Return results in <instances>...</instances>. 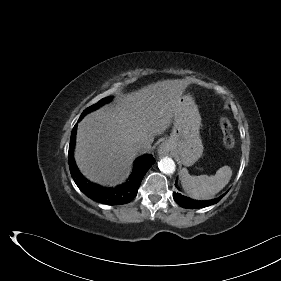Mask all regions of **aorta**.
<instances>
[{
  "label": "aorta",
  "instance_id": "obj_1",
  "mask_svg": "<svg viewBox=\"0 0 281 281\" xmlns=\"http://www.w3.org/2000/svg\"><path fill=\"white\" fill-rule=\"evenodd\" d=\"M158 166L159 169L165 174L174 173L176 168L175 162L169 157H164L163 159H161L158 163Z\"/></svg>",
  "mask_w": 281,
  "mask_h": 281
}]
</instances>
